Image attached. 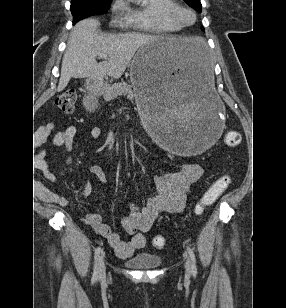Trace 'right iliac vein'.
<instances>
[{"label": "right iliac vein", "instance_id": "63e3f726", "mask_svg": "<svg viewBox=\"0 0 286 308\" xmlns=\"http://www.w3.org/2000/svg\"><path fill=\"white\" fill-rule=\"evenodd\" d=\"M105 273H106V265H105L104 254H102L99 258L97 277L102 278L105 276Z\"/></svg>", "mask_w": 286, "mask_h": 308}]
</instances>
